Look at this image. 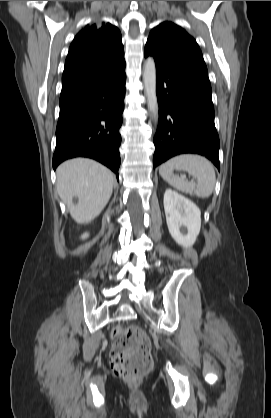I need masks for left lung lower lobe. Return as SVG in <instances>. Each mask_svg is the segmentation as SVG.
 Returning a JSON list of instances; mask_svg holds the SVG:
<instances>
[{
  "instance_id": "left-lung-lower-lobe-1",
  "label": "left lung lower lobe",
  "mask_w": 271,
  "mask_h": 418,
  "mask_svg": "<svg viewBox=\"0 0 271 418\" xmlns=\"http://www.w3.org/2000/svg\"><path fill=\"white\" fill-rule=\"evenodd\" d=\"M156 63L159 123L153 166L182 153L206 156L220 170L219 137L208 74L173 61L146 44Z\"/></svg>"
}]
</instances>
